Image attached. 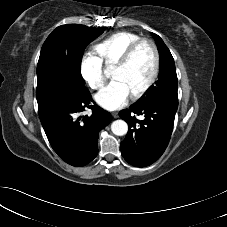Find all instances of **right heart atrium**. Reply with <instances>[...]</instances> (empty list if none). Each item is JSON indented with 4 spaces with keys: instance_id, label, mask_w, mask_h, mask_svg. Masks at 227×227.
<instances>
[{
    "instance_id": "1",
    "label": "right heart atrium",
    "mask_w": 227,
    "mask_h": 227,
    "mask_svg": "<svg viewBox=\"0 0 227 227\" xmlns=\"http://www.w3.org/2000/svg\"><path fill=\"white\" fill-rule=\"evenodd\" d=\"M80 74L90 88L100 89L105 82L103 64L92 52H85L80 59Z\"/></svg>"
}]
</instances>
